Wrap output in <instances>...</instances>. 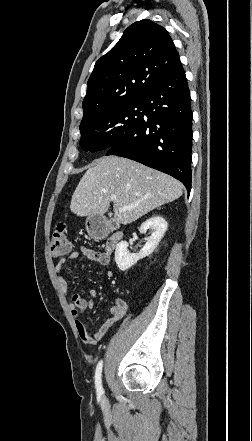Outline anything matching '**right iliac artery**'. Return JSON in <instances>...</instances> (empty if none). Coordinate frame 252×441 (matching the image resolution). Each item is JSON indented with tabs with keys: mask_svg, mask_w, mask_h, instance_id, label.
Listing matches in <instances>:
<instances>
[{
	"mask_svg": "<svg viewBox=\"0 0 252 441\" xmlns=\"http://www.w3.org/2000/svg\"><path fill=\"white\" fill-rule=\"evenodd\" d=\"M102 366H103V361L101 360L99 361L95 372V385H96L97 393L99 395L103 394V388L101 383Z\"/></svg>",
	"mask_w": 252,
	"mask_h": 441,
	"instance_id": "82829eb1",
	"label": "right iliac artery"
}]
</instances>
